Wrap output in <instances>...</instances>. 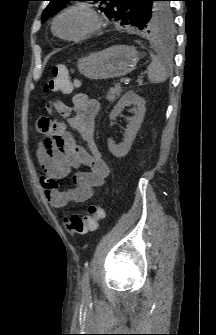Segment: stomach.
I'll return each mask as SVG.
<instances>
[{"instance_id": "0dacf381", "label": "stomach", "mask_w": 216, "mask_h": 335, "mask_svg": "<svg viewBox=\"0 0 216 335\" xmlns=\"http://www.w3.org/2000/svg\"><path fill=\"white\" fill-rule=\"evenodd\" d=\"M139 61L134 46L114 45L79 59L81 74L92 80L122 77L131 72Z\"/></svg>"}]
</instances>
